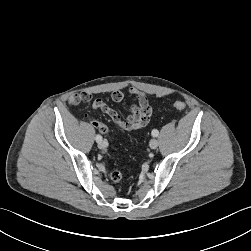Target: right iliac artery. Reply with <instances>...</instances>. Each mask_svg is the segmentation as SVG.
Returning <instances> with one entry per match:
<instances>
[{
	"instance_id": "right-iliac-artery-1",
	"label": "right iliac artery",
	"mask_w": 251,
	"mask_h": 251,
	"mask_svg": "<svg viewBox=\"0 0 251 251\" xmlns=\"http://www.w3.org/2000/svg\"><path fill=\"white\" fill-rule=\"evenodd\" d=\"M95 139L97 142H100L102 140V137L101 135H96Z\"/></svg>"
}]
</instances>
